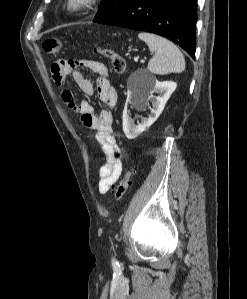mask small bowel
Returning <instances> with one entry per match:
<instances>
[{"instance_id": "1", "label": "small bowel", "mask_w": 247, "mask_h": 299, "mask_svg": "<svg viewBox=\"0 0 247 299\" xmlns=\"http://www.w3.org/2000/svg\"><path fill=\"white\" fill-rule=\"evenodd\" d=\"M80 68H87L97 75L96 86L86 79ZM54 82L61 86L68 75H71L80 89L88 94H97L106 108L99 114L87 101L77 103L73 93L69 89H63L61 98L70 108L77 111L83 125L96 132V139L101 144L104 164L99 170L98 190L106 194L115 185L122 173L120 148L112 130V108L117 102V92L108 79L107 66L94 60H58L51 67Z\"/></svg>"}]
</instances>
